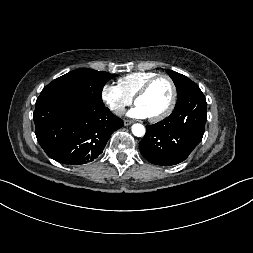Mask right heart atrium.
I'll return each instance as SVG.
<instances>
[{
    "instance_id": "obj_1",
    "label": "right heart atrium",
    "mask_w": 253,
    "mask_h": 253,
    "mask_svg": "<svg viewBox=\"0 0 253 253\" xmlns=\"http://www.w3.org/2000/svg\"><path fill=\"white\" fill-rule=\"evenodd\" d=\"M101 98L108 108L115 114H121L132 103V98L113 83H106L101 89Z\"/></svg>"
}]
</instances>
